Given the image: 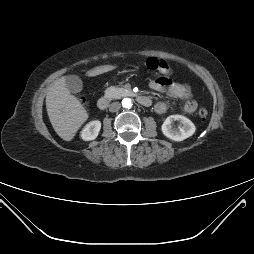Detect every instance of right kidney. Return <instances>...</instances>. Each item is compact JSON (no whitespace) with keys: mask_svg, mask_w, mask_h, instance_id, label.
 I'll return each mask as SVG.
<instances>
[{"mask_svg":"<svg viewBox=\"0 0 254 254\" xmlns=\"http://www.w3.org/2000/svg\"><path fill=\"white\" fill-rule=\"evenodd\" d=\"M101 129V122L94 120L89 122L81 132V138L85 141H91L97 138Z\"/></svg>","mask_w":254,"mask_h":254,"instance_id":"obj_1","label":"right kidney"}]
</instances>
